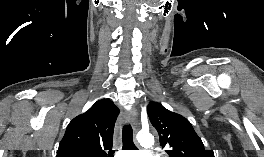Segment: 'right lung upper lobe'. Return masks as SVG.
I'll return each instance as SVG.
<instances>
[{
  "label": "right lung upper lobe",
  "mask_w": 264,
  "mask_h": 157,
  "mask_svg": "<svg viewBox=\"0 0 264 157\" xmlns=\"http://www.w3.org/2000/svg\"><path fill=\"white\" fill-rule=\"evenodd\" d=\"M119 109L109 99L97 101L67 126L57 157H113V131Z\"/></svg>",
  "instance_id": "right-lung-upper-lobe-1"
}]
</instances>
